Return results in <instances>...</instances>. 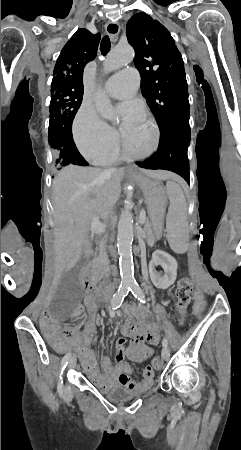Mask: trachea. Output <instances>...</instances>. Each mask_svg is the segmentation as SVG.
Masks as SVG:
<instances>
[{"label":"trachea","mask_w":241,"mask_h":450,"mask_svg":"<svg viewBox=\"0 0 241 450\" xmlns=\"http://www.w3.org/2000/svg\"><path fill=\"white\" fill-rule=\"evenodd\" d=\"M110 48H111L110 39L108 35H105V37H103V39L101 40L100 44V51L102 55H106L110 51Z\"/></svg>","instance_id":"obj_1"}]
</instances>
